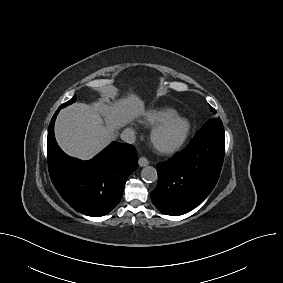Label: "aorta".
<instances>
[{
    "mask_svg": "<svg viewBox=\"0 0 283 283\" xmlns=\"http://www.w3.org/2000/svg\"><path fill=\"white\" fill-rule=\"evenodd\" d=\"M157 177V170L152 166H145L141 171V178L145 182H155Z\"/></svg>",
    "mask_w": 283,
    "mask_h": 283,
    "instance_id": "obj_1",
    "label": "aorta"
}]
</instances>
